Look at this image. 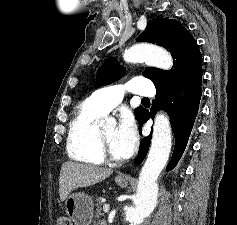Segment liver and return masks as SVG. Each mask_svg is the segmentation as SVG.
<instances>
[{"label": "liver", "mask_w": 237, "mask_h": 225, "mask_svg": "<svg viewBox=\"0 0 237 225\" xmlns=\"http://www.w3.org/2000/svg\"><path fill=\"white\" fill-rule=\"evenodd\" d=\"M112 170L89 164L65 162L61 166L59 177V196L64 201L68 195L80 187L92 186L106 179Z\"/></svg>", "instance_id": "1"}]
</instances>
